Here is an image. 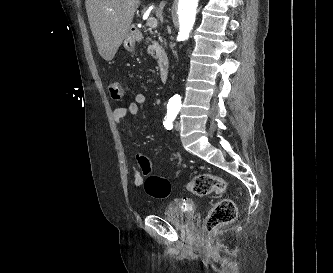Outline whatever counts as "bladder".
<instances>
[{"instance_id":"obj_1","label":"bladder","mask_w":333,"mask_h":273,"mask_svg":"<svg viewBox=\"0 0 333 273\" xmlns=\"http://www.w3.org/2000/svg\"><path fill=\"white\" fill-rule=\"evenodd\" d=\"M162 217L176 227H187L194 221L195 206L185 201H173L166 205Z\"/></svg>"}]
</instances>
